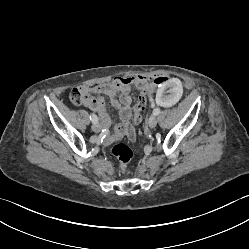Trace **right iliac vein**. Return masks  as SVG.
Instances as JSON below:
<instances>
[{
  "mask_svg": "<svg viewBox=\"0 0 249 249\" xmlns=\"http://www.w3.org/2000/svg\"><path fill=\"white\" fill-rule=\"evenodd\" d=\"M92 130L98 133L100 131V126L97 123H93Z\"/></svg>",
  "mask_w": 249,
  "mask_h": 249,
  "instance_id": "1",
  "label": "right iliac vein"
}]
</instances>
